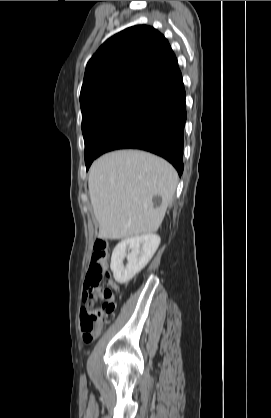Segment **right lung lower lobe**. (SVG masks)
Returning <instances> with one entry per match:
<instances>
[{"label":"right lung lower lobe","instance_id":"right-lung-lower-lobe-1","mask_svg":"<svg viewBox=\"0 0 271 418\" xmlns=\"http://www.w3.org/2000/svg\"><path fill=\"white\" fill-rule=\"evenodd\" d=\"M185 96L181 79L119 128L106 141L100 155L125 148L149 151L168 160L181 176L184 168Z\"/></svg>","mask_w":271,"mask_h":418}]
</instances>
